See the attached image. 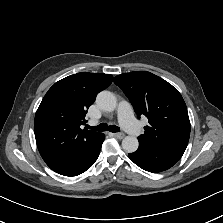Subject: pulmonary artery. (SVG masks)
I'll return each instance as SVG.
<instances>
[{"mask_svg": "<svg viewBox=\"0 0 223 223\" xmlns=\"http://www.w3.org/2000/svg\"><path fill=\"white\" fill-rule=\"evenodd\" d=\"M118 122L123 125L126 132L130 133L132 137L139 138L143 134L141 126L137 125L136 121L131 118L132 110L128 103L121 102L115 112Z\"/></svg>", "mask_w": 223, "mask_h": 223, "instance_id": "obj_1", "label": "pulmonary artery"}]
</instances>
